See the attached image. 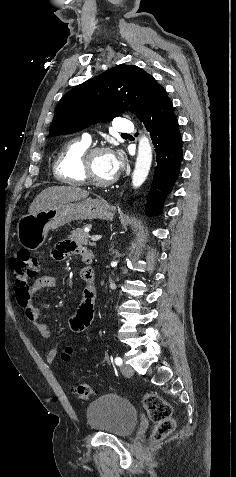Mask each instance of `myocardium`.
Returning a JSON list of instances; mask_svg holds the SVG:
<instances>
[{
	"mask_svg": "<svg viewBox=\"0 0 236 477\" xmlns=\"http://www.w3.org/2000/svg\"><path fill=\"white\" fill-rule=\"evenodd\" d=\"M103 152L109 153V150L106 147H101V146L92 147L85 152V154L82 156V159H81V173H82L84 182L95 187H107L113 184L116 180L115 178H112L111 180H107V181L98 180L94 178L91 174L90 167H89L91 159L95 155L99 153H103Z\"/></svg>",
	"mask_w": 236,
	"mask_h": 477,
	"instance_id": "obj_1",
	"label": "myocardium"
}]
</instances>
